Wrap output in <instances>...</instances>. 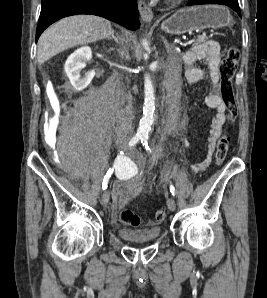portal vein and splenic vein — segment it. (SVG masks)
<instances>
[{
    "label": "portal vein and splenic vein",
    "mask_w": 267,
    "mask_h": 298,
    "mask_svg": "<svg viewBox=\"0 0 267 298\" xmlns=\"http://www.w3.org/2000/svg\"><path fill=\"white\" fill-rule=\"evenodd\" d=\"M193 42H194V40H190V41L187 42V45H190Z\"/></svg>",
    "instance_id": "portal-vein-and-splenic-vein-1"
}]
</instances>
